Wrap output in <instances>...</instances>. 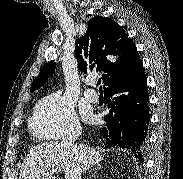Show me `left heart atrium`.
Returning <instances> with one entry per match:
<instances>
[{
  "instance_id": "1",
  "label": "left heart atrium",
  "mask_w": 183,
  "mask_h": 179,
  "mask_svg": "<svg viewBox=\"0 0 183 179\" xmlns=\"http://www.w3.org/2000/svg\"><path fill=\"white\" fill-rule=\"evenodd\" d=\"M84 116H85V118H86L87 120L90 119V118H91V113H90V111L86 110V111L84 112Z\"/></svg>"
}]
</instances>
